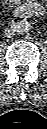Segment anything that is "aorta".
<instances>
[{"instance_id":"aorta-1","label":"aorta","mask_w":47,"mask_h":129,"mask_svg":"<svg viewBox=\"0 0 47 129\" xmlns=\"http://www.w3.org/2000/svg\"><path fill=\"white\" fill-rule=\"evenodd\" d=\"M31 29V25L27 20H20L16 23L15 31L20 34L24 35L27 34Z\"/></svg>"}]
</instances>
